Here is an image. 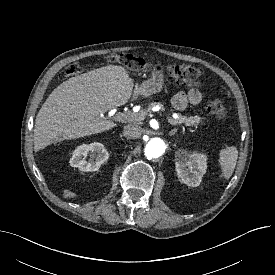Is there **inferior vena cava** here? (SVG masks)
Instances as JSON below:
<instances>
[{
  "mask_svg": "<svg viewBox=\"0 0 275 275\" xmlns=\"http://www.w3.org/2000/svg\"><path fill=\"white\" fill-rule=\"evenodd\" d=\"M123 135L128 139H136L141 135V127L135 124H128L123 128Z\"/></svg>",
  "mask_w": 275,
  "mask_h": 275,
  "instance_id": "obj_1",
  "label": "inferior vena cava"
}]
</instances>
